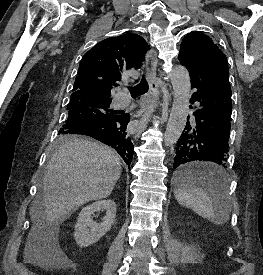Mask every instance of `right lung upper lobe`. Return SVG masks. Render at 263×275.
I'll list each match as a JSON object with an SVG mask.
<instances>
[{
	"label": "right lung upper lobe",
	"instance_id": "1",
	"mask_svg": "<svg viewBox=\"0 0 263 275\" xmlns=\"http://www.w3.org/2000/svg\"><path fill=\"white\" fill-rule=\"evenodd\" d=\"M148 49L146 41L133 33L99 42L82 58L71 97L94 94L110 98L112 86L121 80V72L140 67Z\"/></svg>",
	"mask_w": 263,
	"mask_h": 275
}]
</instances>
